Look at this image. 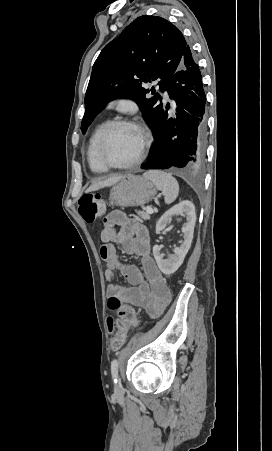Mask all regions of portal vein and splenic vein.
Instances as JSON below:
<instances>
[{
  "label": "portal vein and splenic vein",
  "instance_id": "portal-vein-and-splenic-vein-1",
  "mask_svg": "<svg viewBox=\"0 0 272 451\" xmlns=\"http://www.w3.org/2000/svg\"><path fill=\"white\" fill-rule=\"evenodd\" d=\"M147 214H153V208H149V206H147V208H145Z\"/></svg>",
  "mask_w": 272,
  "mask_h": 451
}]
</instances>
